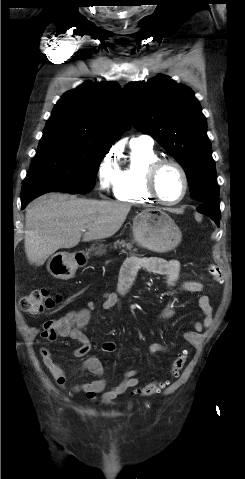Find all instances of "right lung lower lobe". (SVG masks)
Listing matches in <instances>:
<instances>
[{
  "label": "right lung lower lobe",
  "instance_id": "obj_1",
  "mask_svg": "<svg viewBox=\"0 0 245 479\" xmlns=\"http://www.w3.org/2000/svg\"><path fill=\"white\" fill-rule=\"evenodd\" d=\"M45 193H48V191H34V192H29L22 195V198H21L22 209H24L26 205L29 202H31L33 199Z\"/></svg>",
  "mask_w": 245,
  "mask_h": 479
}]
</instances>
